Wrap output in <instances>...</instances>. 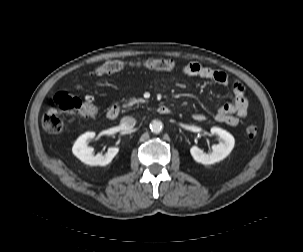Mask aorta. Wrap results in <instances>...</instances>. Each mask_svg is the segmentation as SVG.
Here are the masks:
<instances>
[{
  "label": "aorta",
  "instance_id": "aorta-1",
  "mask_svg": "<svg viewBox=\"0 0 303 252\" xmlns=\"http://www.w3.org/2000/svg\"><path fill=\"white\" fill-rule=\"evenodd\" d=\"M163 129V124L161 121L159 120H154L151 122L150 124V130L151 132L155 133V134H159Z\"/></svg>",
  "mask_w": 303,
  "mask_h": 252
}]
</instances>
